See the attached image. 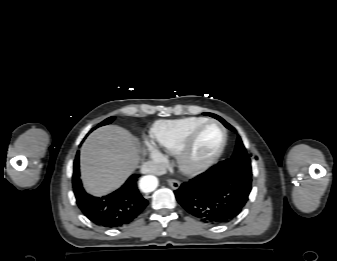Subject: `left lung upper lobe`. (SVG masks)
I'll use <instances>...</instances> for the list:
<instances>
[{
  "instance_id": "5c2ea615",
  "label": "left lung upper lobe",
  "mask_w": 337,
  "mask_h": 261,
  "mask_svg": "<svg viewBox=\"0 0 337 261\" xmlns=\"http://www.w3.org/2000/svg\"><path fill=\"white\" fill-rule=\"evenodd\" d=\"M213 116L219 119L227 128L235 131V129L228 123H226L222 118L216 115ZM218 164L221 166H229L234 170H236L237 172H239L243 177L248 179L250 182L252 181L251 161L240 137H238L237 139L235 152L232 155V157L225 161H221Z\"/></svg>"
}]
</instances>
